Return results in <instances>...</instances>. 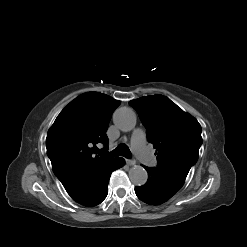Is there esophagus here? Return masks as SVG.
Wrapping results in <instances>:
<instances>
[{
    "instance_id": "34e87169",
    "label": "esophagus",
    "mask_w": 247,
    "mask_h": 247,
    "mask_svg": "<svg viewBox=\"0 0 247 247\" xmlns=\"http://www.w3.org/2000/svg\"><path fill=\"white\" fill-rule=\"evenodd\" d=\"M126 164L129 165V166H132V165L136 164V161L133 160V159H126Z\"/></svg>"
}]
</instances>
